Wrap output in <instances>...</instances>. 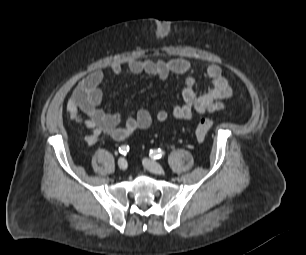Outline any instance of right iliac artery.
Returning a JSON list of instances; mask_svg holds the SVG:
<instances>
[{"instance_id": "right-iliac-artery-1", "label": "right iliac artery", "mask_w": 306, "mask_h": 255, "mask_svg": "<svg viewBox=\"0 0 306 255\" xmlns=\"http://www.w3.org/2000/svg\"><path fill=\"white\" fill-rule=\"evenodd\" d=\"M129 151V146L128 145H122L121 147H119V152L121 154H126Z\"/></svg>"}]
</instances>
